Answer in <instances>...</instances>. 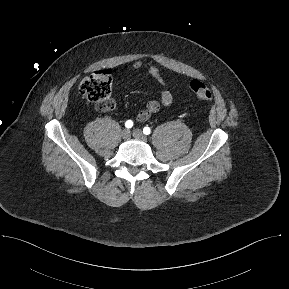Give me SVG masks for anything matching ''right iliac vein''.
Segmentation results:
<instances>
[{
    "instance_id": "1",
    "label": "right iliac vein",
    "mask_w": 289,
    "mask_h": 289,
    "mask_svg": "<svg viewBox=\"0 0 289 289\" xmlns=\"http://www.w3.org/2000/svg\"><path fill=\"white\" fill-rule=\"evenodd\" d=\"M121 135H122V138H123V139L127 140V139L130 138L131 132H130L129 129H124V130L122 131Z\"/></svg>"
}]
</instances>
